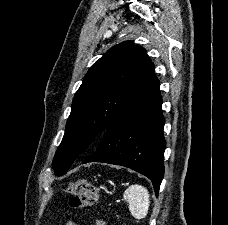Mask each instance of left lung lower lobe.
Returning <instances> with one entry per match:
<instances>
[{
    "mask_svg": "<svg viewBox=\"0 0 228 225\" xmlns=\"http://www.w3.org/2000/svg\"><path fill=\"white\" fill-rule=\"evenodd\" d=\"M164 123L158 81L107 128L96 152L83 163L103 162L137 171L152 181L157 195L164 176Z\"/></svg>",
    "mask_w": 228,
    "mask_h": 225,
    "instance_id": "1",
    "label": "left lung lower lobe"
}]
</instances>
